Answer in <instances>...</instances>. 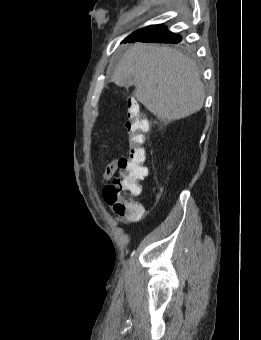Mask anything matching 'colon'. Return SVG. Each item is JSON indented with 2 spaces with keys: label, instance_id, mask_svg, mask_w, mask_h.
<instances>
[{
  "label": "colon",
  "instance_id": "obj_1",
  "mask_svg": "<svg viewBox=\"0 0 261 340\" xmlns=\"http://www.w3.org/2000/svg\"><path fill=\"white\" fill-rule=\"evenodd\" d=\"M126 132L129 143L128 154L118 161L119 174L103 190L104 200L119 215H138L143 207L133 200L141 193V181L148 175L145 134L148 123L142 117L135 100H128Z\"/></svg>",
  "mask_w": 261,
  "mask_h": 340
}]
</instances>
